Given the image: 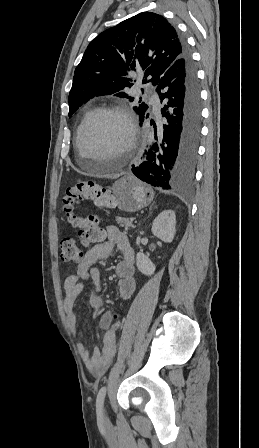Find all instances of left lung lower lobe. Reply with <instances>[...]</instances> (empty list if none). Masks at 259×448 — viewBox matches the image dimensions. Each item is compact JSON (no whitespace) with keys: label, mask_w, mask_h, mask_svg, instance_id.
Here are the masks:
<instances>
[{"label":"left lung lower lobe","mask_w":259,"mask_h":448,"mask_svg":"<svg viewBox=\"0 0 259 448\" xmlns=\"http://www.w3.org/2000/svg\"><path fill=\"white\" fill-rule=\"evenodd\" d=\"M183 52L160 77L157 92L165 118L157 142L144 152L145 161L132 166L142 181L164 190L182 191L191 187L201 129V100L196 68L186 43ZM148 117L140 118V125Z\"/></svg>","instance_id":"1"}]
</instances>
